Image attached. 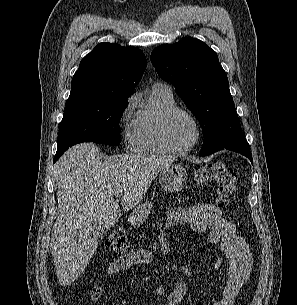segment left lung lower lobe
Listing matches in <instances>:
<instances>
[{"mask_svg": "<svg viewBox=\"0 0 297 305\" xmlns=\"http://www.w3.org/2000/svg\"><path fill=\"white\" fill-rule=\"evenodd\" d=\"M225 149L240 153V154L246 156L247 158H249V160L253 163L252 154L250 152V147H246V148H225ZM201 156H205V155H201Z\"/></svg>", "mask_w": 297, "mask_h": 305, "instance_id": "1", "label": "left lung lower lobe"}]
</instances>
